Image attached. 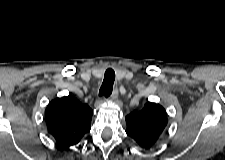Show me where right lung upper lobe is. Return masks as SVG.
Returning <instances> with one entry per match:
<instances>
[{"label":"right lung upper lobe","mask_w":225,"mask_h":160,"mask_svg":"<svg viewBox=\"0 0 225 160\" xmlns=\"http://www.w3.org/2000/svg\"><path fill=\"white\" fill-rule=\"evenodd\" d=\"M93 110L72 96L57 98L45 110L48 132L64 148L77 145L91 128Z\"/></svg>","instance_id":"cb5924a9"}]
</instances>
